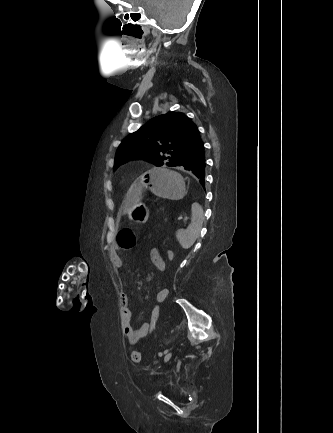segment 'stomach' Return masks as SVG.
<instances>
[{"label": "stomach", "instance_id": "stomach-1", "mask_svg": "<svg viewBox=\"0 0 333 433\" xmlns=\"http://www.w3.org/2000/svg\"><path fill=\"white\" fill-rule=\"evenodd\" d=\"M139 183H151L152 192L164 199H185V183L175 169H147L145 174H139ZM129 216L142 225L148 220V208L139 202L135 212Z\"/></svg>", "mask_w": 333, "mask_h": 433}]
</instances>
